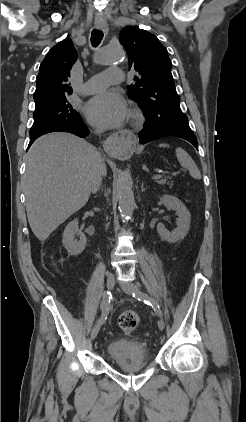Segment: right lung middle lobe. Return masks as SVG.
Here are the masks:
<instances>
[{
    "label": "right lung middle lobe",
    "mask_w": 246,
    "mask_h": 422,
    "mask_svg": "<svg viewBox=\"0 0 246 422\" xmlns=\"http://www.w3.org/2000/svg\"><path fill=\"white\" fill-rule=\"evenodd\" d=\"M34 123L30 129V135L56 125H72L82 118L67 101L60 98L48 105L36 108L33 112Z\"/></svg>",
    "instance_id": "1"
}]
</instances>
